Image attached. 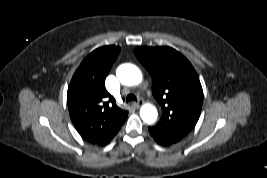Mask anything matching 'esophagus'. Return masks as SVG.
I'll use <instances>...</instances> for the list:
<instances>
[{
  "label": "esophagus",
  "mask_w": 267,
  "mask_h": 178,
  "mask_svg": "<svg viewBox=\"0 0 267 178\" xmlns=\"http://www.w3.org/2000/svg\"><path fill=\"white\" fill-rule=\"evenodd\" d=\"M143 104V101L139 100L137 103H133L135 108H139Z\"/></svg>",
  "instance_id": "34e87169"
}]
</instances>
